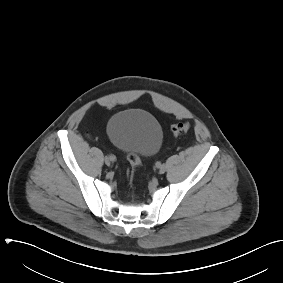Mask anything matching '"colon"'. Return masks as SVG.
Wrapping results in <instances>:
<instances>
[{"label":"colon","mask_w":283,"mask_h":283,"mask_svg":"<svg viewBox=\"0 0 283 283\" xmlns=\"http://www.w3.org/2000/svg\"><path fill=\"white\" fill-rule=\"evenodd\" d=\"M189 128H190L189 123L180 122L171 126V132L173 135L177 136L186 133L189 130ZM128 160L131 166L135 169L138 168L141 164L140 157L137 154H129Z\"/></svg>","instance_id":"colon-1"}]
</instances>
